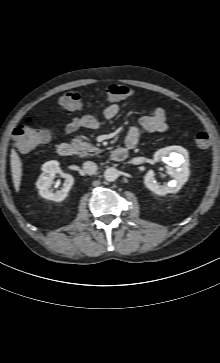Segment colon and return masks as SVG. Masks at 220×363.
Here are the masks:
<instances>
[{
  "label": "colon",
  "mask_w": 220,
  "mask_h": 363,
  "mask_svg": "<svg viewBox=\"0 0 220 363\" xmlns=\"http://www.w3.org/2000/svg\"><path fill=\"white\" fill-rule=\"evenodd\" d=\"M135 94V90L123 84H113L106 88L104 96L108 102L127 99ZM59 104L68 110H76L82 104V96L77 91H68L59 99ZM51 131L35 125L32 117H27L13 131L14 147L20 152H27L36 146L46 143L51 138ZM195 143L202 148L210 144L207 132L199 131L194 135Z\"/></svg>",
  "instance_id": "colon-1"
}]
</instances>
